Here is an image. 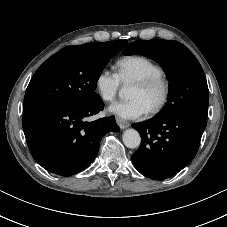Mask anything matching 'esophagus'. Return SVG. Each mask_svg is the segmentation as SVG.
Listing matches in <instances>:
<instances>
[{
	"mask_svg": "<svg viewBox=\"0 0 227 227\" xmlns=\"http://www.w3.org/2000/svg\"><path fill=\"white\" fill-rule=\"evenodd\" d=\"M116 122L121 129H126L129 127V123L120 118H116Z\"/></svg>",
	"mask_w": 227,
	"mask_h": 227,
	"instance_id": "esophagus-1",
	"label": "esophagus"
}]
</instances>
